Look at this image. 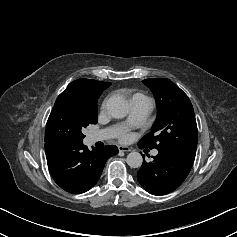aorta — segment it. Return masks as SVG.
<instances>
[{"instance_id": "aorta-1", "label": "aorta", "mask_w": 237, "mask_h": 237, "mask_svg": "<svg viewBox=\"0 0 237 237\" xmlns=\"http://www.w3.org/2000/svg\"><path fill=\"white\" fill-rule=\"evenodd\" d=\"M107 110L114 118H124L128 114L126 102L117 96H112L107 100ZM127 164L131 168H139L143 163L142 155L139 152H131L126 158Z\"/></svg>"}]
</instances>
